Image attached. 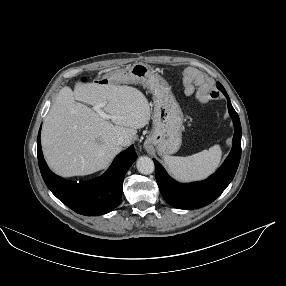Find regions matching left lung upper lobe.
<instances>
[{"mask_svg": "<svg viewBox=\"0 0 286 286\" xmlns=\"http://www.w3.org/2000/svg\"><path fill=\"white\" fill-rule=\"evenodd\" d=\"M217 88L221 91H225V89L223 88V86L220 83H217Z\"/></svg>", "mask_w": 286, "mask_h": 286, "instance_id": "1", "label": "left lung upper lobe"}]
</instances>
